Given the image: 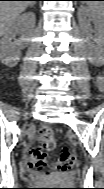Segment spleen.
<instances>
[{"mask_svg":"<svg viewBox=\"0 0 104 189\" xmlns=\"http://www.w3.org/2000/svg\"><path fill=\"white\" fill-rule=\"evenodd\" d=\"M86 3L92 11H95V12L103 11V2L102 1H88Z\"/></svg>","mask_w":104,"mask_h":189,"instance_id":"spleen-1","label":"spleen"}]
</instances>
